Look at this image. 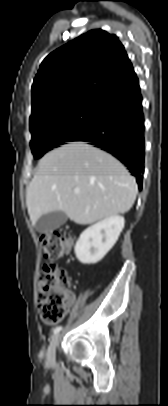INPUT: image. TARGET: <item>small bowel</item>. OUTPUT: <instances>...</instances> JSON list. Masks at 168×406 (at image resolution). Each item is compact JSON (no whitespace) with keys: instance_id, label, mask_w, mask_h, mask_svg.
<instances>
[{"instance_id":"1","label":"small bowel","mask_w":168,"mask_h":406,"mask_svg":"<svg viewBox=\"0 0 168 406\" xmlns=\"http://www.w3.org/2000/svg\"><path fill=\"white\" fill-rule=\"evenodd\" d=\"M75 301V295L70 290H65V308L69 309L73 306Z\"/></svg>"}]
</instances>
